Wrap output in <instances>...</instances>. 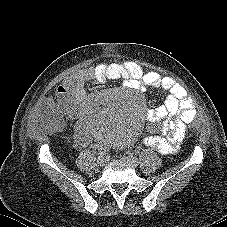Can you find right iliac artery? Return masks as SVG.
I'll return each instance as SVG.
<instances>
[{
	"mask_svg": "<svg viewBox=\"0 0 227 227\" xmlns=\"http://www.w3.org/2000/svg\"><path fill=\"white\" fill-rule=\"evenodd\" d=\"M107 154V151L106 150H103V151H100L99 152V155L101 156V157H103L104 155H106Z\"/></svg>",
	"mask_w": 227,
	"mask_h": 227,
	"instance_id": "82829eb1",
	"label": "right iliac artery"
}]
</instances>
